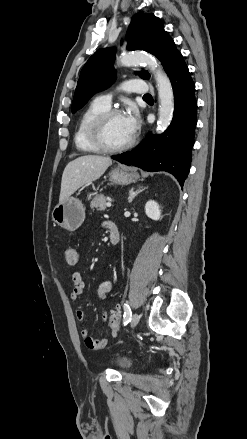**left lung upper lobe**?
<instances>
[{
  "mask_svg": "<svg viewBox=\"0 0 247 439\" xmlns=\"http://www.w3.org/2000/svg\"><path fill=\"white\" fill-rule=\"evenodd\" d=\"M126 40L128 50H144L155 55L161 61L168 76L183 59L173 39L164 30L162 21L153 13L135 16L127 30ZM114 59V49H99L89 58L80 73L72 112L83 107L91 96L97 91L108 88L114 81ZM137 74L141 78L149 79V74L145 70Z\"/></svg>",
  "mask_w": 247,
  "mask_h": 439,
  "instance_id": "left-lung-upper-lobe-1",
  "label": "left lung upper lobe"
}]
</instances>
